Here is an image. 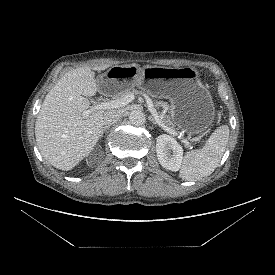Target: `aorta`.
Instances as JSON below:
<instances>
[{"instance_id":"762f6f07","label":"aorta","mask_w":275,"mask_h":275,"mask_svg":"<svg viewBox=\"0 0 275 275\" xmlns=\"http://www.w3.org/2000/svg\"><path fill=\"white\" fill-rule=\"evenodd\" d=\"M129 121L132 125L141 126V125L145 124L146 117L142 111L133 110L129 114Z\"/></svg>"}]
</instances>
